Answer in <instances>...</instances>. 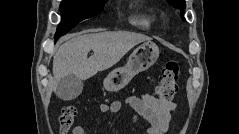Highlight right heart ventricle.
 Listing matches in <instances>:
<instances>
[{"instance_id":"e07e8e85","label":"right heart ventricle","mask_w":239,"mask_h":134,"mask_svg":"<svg viewBox=\"0 0 239 134\" xmlns=\"http://www.w3.org/2000/svg\"><path fill=\"white\" fill-rule=\"evenodd\" d=\"M131 23L139 27L147 28L150 26L151 19L145 13L138 12L131 18Z\"/></svg>"}]
</instances>
